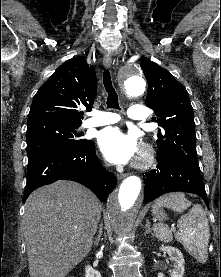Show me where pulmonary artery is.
<instances>
[{"label":"pulmonary artery","mask_w":221,"mask_h":277,"mask_svg":"<svg viewBox=\"0 0 221 277\" xmlns=\"http://www.w3.org/2000/svg\"><path fill=\"white\" fill-rule=\"evenodd\" d=\"M91 116L84 122L83 126L85 128L113 124L120 120L119 115L108 111H93ZM127 116L132 120H145L148 116V111L143 105H132L128 110Z\"/></svg>","instance_id":"pulmonary-artery-1"}]
</instances>
